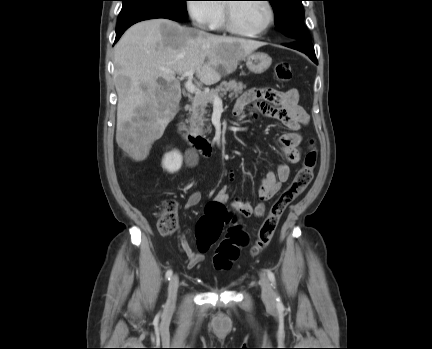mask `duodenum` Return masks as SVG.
<instances>
[{"mask_svg": "<svg viewBox=\"0 0 432 349\" xmlns=\"http://www.w3.org/2000/svg\"><path fill=\"white\" fill-rule=\"evenodd\" d=\"M179 130L183 138L200 155L208 157L212 154L213 148L211 143L204 136L191 129L187 121L180 122Z\"/></svg>", "mask_w": 432, "mask_h": 349, "instance_id": "410a0bca", "label": "duodenum"}]
</instances>
